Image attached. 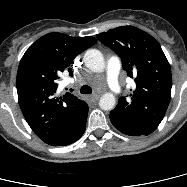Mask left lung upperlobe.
Returning <instances> with one entry per match:
<instances>
[{
  "label": "left lung upper lobe",
  "instance_id": "5c2ea615",
  "mask_svg": "<svg viewBox=\"0 0 187 187\" xmlns=\"http://www.w3.org/2000/svg\"><path fill=\"white\" fill-rule=\"evenodd\" d=\"M97 38L118 54L136 83L131 98L120 97L111 113L149 135L162 121L171 98V69L164 52L150 34L133 26L111 29Z\"/></svg>",
  "mask_w": 187,
  "mask_h": 187
}]
</instances>
